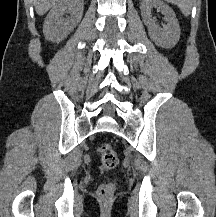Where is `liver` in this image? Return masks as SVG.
Wrapping results in <instances>:
<instances>
[{"label": "liver", "mask_w": 216, "mask_h": 217, "mask_svg": "<svg viewBox=\"0 0 216 217\" xmlns=\"http://www.w3.org/2000/svg\"><path fill=\"white\" fill-rule=\"evenodd\" d=\"M59 0H34V7L38 15H44L50 8L55 6Z\"/></svg>", "instance_id": "1"}]
</instances>
